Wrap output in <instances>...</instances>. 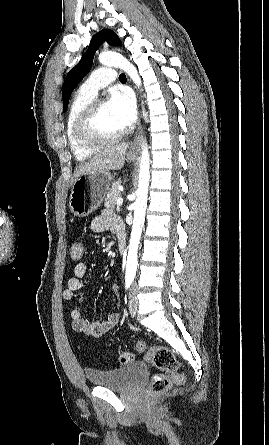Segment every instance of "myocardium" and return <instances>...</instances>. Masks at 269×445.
<instances>
[{"label":"myocardium","mask_w":269,"mask_h":445,"mask_svg":"<svg viewBox=\"0 0 269 445\" xmlns=\"http://www.w3.org/2000/svg\"><path fill=\"white\" fill-rule=\"evenodd\" d=\"M104 101L93 99L78 115L74 124V135L77 141L86 148H99L120 140L126 130L113 134H104L96 127L97 117Z\"/></svg>","instance_id":"f54148a6"}]
</instances>
